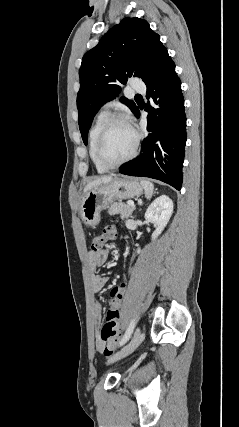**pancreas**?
Masks as SVG:
<instances>
[{
	"instance_id": "obj_1",
	"label": "pancreas",
	"mask_w": 239,
	"mask_h": 427,
	"mask_svg": "<svg viewBox=\"0 0 239 427\" xmlns=\"http://www.w3.org/2000/svg\"><path fill=\"white\" fill-rule=\"evenodd\" d=\"M134 208L122 202L110 204L108 213L110 215L120 214L121 219L125 220L131 217Z\"/></svg>"
}]
</instances>
